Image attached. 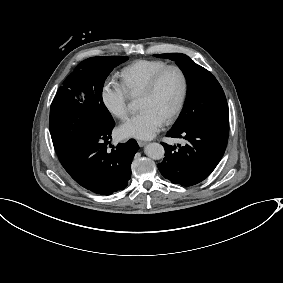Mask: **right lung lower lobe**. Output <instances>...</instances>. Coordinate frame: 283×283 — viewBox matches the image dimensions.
I'll return each instance as SVG.
<instances>
[{"label":"right lung lower lobe","instance_id":"obj_1","mask_svg":"<svg viewBox=\"0 0 283 283\" xmlns=\"http://www.w3.org/2000/svg\"><path fill=\"white\" fill-rule=\"evenodd\" d=\"M115 123L90 133L69 153L59 157L68 174L82 187L101 195L123 190L131 177L138 150L134 139L107 149Z\"/></svg>","mask_w":283,"mask_h":283}]
</instances>
